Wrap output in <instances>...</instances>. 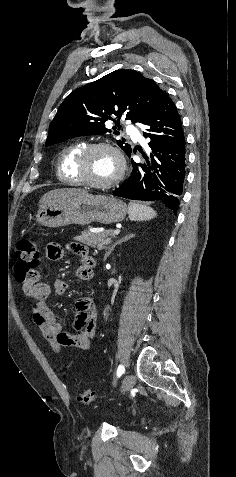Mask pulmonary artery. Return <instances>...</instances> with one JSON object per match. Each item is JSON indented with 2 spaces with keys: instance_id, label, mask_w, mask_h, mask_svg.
Returning a JSON list of instances; mask_svg holds the SVG:
<instances>
[{
  "instance_id": "pulmonary-artery-1",
  "label": "pulmonary artery",
  "mask_w": 236,
  "mask_h": 477,
  "mask_svg": "<svg viewBox=\"0 0 236 477\" xmlns=\"http://www.w3.org/2000/svg\"><path fill=\"white\" fill-rule=\"evenodd\" d=\"M126 131L133 137V139H135V140H140V138H141L140 135H138L137 133H135V132L133 131V129H132L131 126H127V127H126Z\"/></svg>"
}]
</instances>
